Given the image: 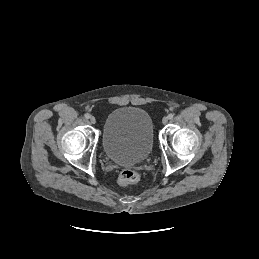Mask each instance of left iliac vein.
<instances>
[{
    "label": "left iliac vein",
    "instance_id": "obj_1",
    "mask_svg": "<svg viewBox=\"0 0 259 259\" xmlns=\"http://www.w3.org/2000/svg\"><path fill=\"white\" fill-rule=\"evenodd\" d=\"M162 123H163L164 125H166V124L168 123V118H167V117H164V118L162 119Z\"/></svg>",
    "mask_w": 259,
    "mask_h": 259
}]
</instances>
